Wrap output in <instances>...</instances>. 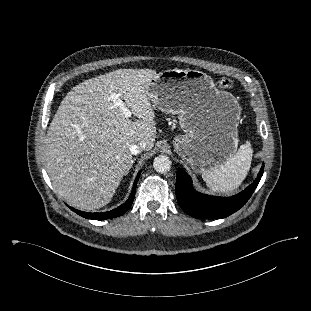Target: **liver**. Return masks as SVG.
<instances>
[{"mask_svg": "<svg viewBox=\"0 0 311 311\" xmlns=\"http://www.w3.org/2000/svg\"><path fill=\"white\" fill-rule=\"evenodd\" d=\"M152 69H118L76 85L62 100L46 138V168L56 192L70 205L93 211L108 204L133 162L130 146L156 138L148 84ZM120 94L137 118L111 100Z\"/></svg>", "mask_w": 311, "mask_h": 311, "instance_id": "liver-1", "label": "liver"}]
</instances>
